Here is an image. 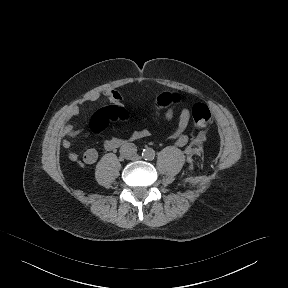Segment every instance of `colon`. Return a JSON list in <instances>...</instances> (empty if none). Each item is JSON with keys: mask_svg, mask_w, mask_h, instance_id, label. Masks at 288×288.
I'll return each mask as SVG.
<instances>
[{"mask_svg": "<svg viewBox=\"0 0 288 288\" xmlns=\"http://www.w3.org/2000/svg\"><path fill=\"white\" fill-rule=\"evenodd\" d=\"M177 99H172L169 95H163L159 101V106L168 105L176 102ZM127 113L116 106L103 107L98 109L89 121L90 129L98 134L104 131L112 122L117 120H125ZM195 127L202 130L212 121V116L209 109L205 105L195 107L193 112Z\"/></svg>", "mask_w": 288, "mask_h": 288, "instance_id": "obj_1", "label": "colon"}]
</instances>
